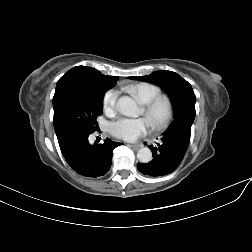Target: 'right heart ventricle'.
<instances>
[{"instance_id": "right-heart-ventricle-1", "label": "right heart ventricle", "mask_w": 252, "mask_h": 252, "mask_svg": "<svg viewBox=\"0 0 252 252\" xmlns=\"http://www.w3.org/2000/svg\"><path fill=\"white\" fill-rule=\"evenodd\" d=\"M125 90L142 104L150 102L161 94V88L159 86L147 82L129 85Z\"/></svg>"}]
</instances>
